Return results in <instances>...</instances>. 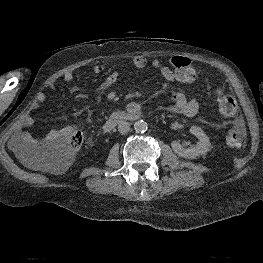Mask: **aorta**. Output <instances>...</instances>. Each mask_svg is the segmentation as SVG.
<instances>
[{"label": "aorta", "instance_id": "obj_1", "mask_svg": "<svg viewBox=\"0 0 263 263\" xmlns=\"http://www.w3.org/2000/svg\"><path fill=\"white\" fill-rule=\"evenodd\" d=\"M148 128V124L144 120H138L134 124V129L138 133H144Z\"/></svg>", "mask_w": 263, "mask_h": 263}]
</instances>
